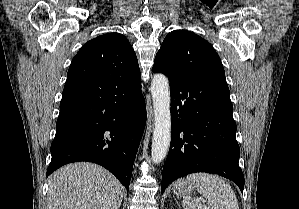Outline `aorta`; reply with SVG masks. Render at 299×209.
I'll return each mask as SVG.
<instances>
[{"label":"aorta","instance_id":"1","mask_svg":"<svg viewBox=\"0 0 299 209\" xmlns=\"http://www.w3.org/2000/svg\"><path fill=\"white\" fill-rule=\"evenodd\" d=\"M151 94L155 118L151 158L158 164L166 157L171 141L170 88L168 78L164 74L154 75Z\"/></svg>","mask_w":299,"mask_h":209}]
</instances>
